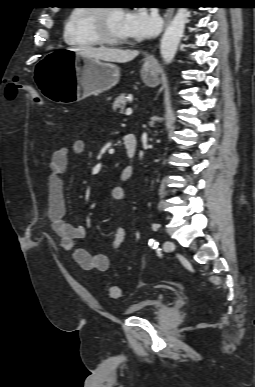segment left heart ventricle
<instances>
[{
	"label": "left heart ventricle",
	"mask_w": 255,
	"mask_h": 387,
	"mask_svg": "<svg viewBox=\"0 0 255 387\" xmlns=\"http://www.w3.org/2000/svg\"><path fill=\"white\" fill-rule=\"evenodd\" d=\"M125 12L122 9L116 8L109 15V28L113 35L119 38H128L124 31Z\"/></svg>",
	"instance_id": "left-heart-ventricle-1"
}]
</instances>
